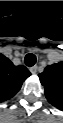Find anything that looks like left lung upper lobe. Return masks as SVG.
Instances as JSON below:
<instances>
[{"label":"left lung upper lobe","instance_id":"1","mask_svg":"<svg viewBox=\"0 0 63 123\" xmlns=\"http://www.w3.org/2000/svg\"><path fill=\"white\" fill-rule=\"evenodd\" d=\"M39 79L44 86L47 100L56 108H63V65L62 63L47 66Z\"/></svg>","mask_w":63,"mask_h":123}]
</instances>
